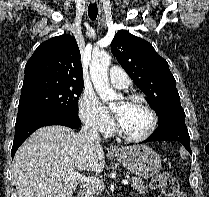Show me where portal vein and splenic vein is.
Instances as JSON below:
<instances>
[{"instance_id":"1","label":"portal vein and splenic vein","mask_w":209,"mask_h":197,"mask_svg":"<svg viewBox=\"0 0 209 197\" xmlns=\"http://www.w3.org/2000/svg\"><path fill=\"white\" fill-rule=\"evenodd\" d=\"M66 177H68L69 179L75 180V181H82V182H86L87 184H91V185H99L101 183V180L99 178H93V177H87L84 176L78 172H75L73 170H70L67 172ZM129 183L128 180H123L122 184L123 185H127Z\"/></svg>"}]
</instances>
